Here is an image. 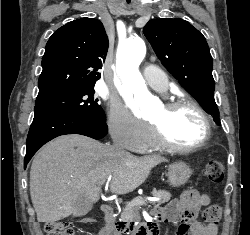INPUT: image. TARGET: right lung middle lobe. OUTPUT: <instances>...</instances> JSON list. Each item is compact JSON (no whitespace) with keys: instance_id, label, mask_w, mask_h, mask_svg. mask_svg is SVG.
<instances>
[{"instance_id":"obj_1","label":"right lung middle lobe","mask_w":250,"mask_h":235,"mask_svg":"<svg viewBox=\"0 0 250 235\" xmlns=\"http://www.w3.org/2000/svg\"><path fill=\"white\" fill-rule=\"evenodd\" d=\"M94 85L77 90L63 91L37 97L34 111L52 110L78 113L105 120V113L94 97Z\"/></svg>"}]
</instances>
